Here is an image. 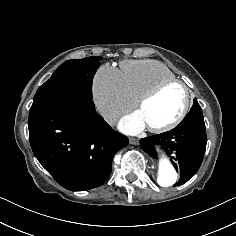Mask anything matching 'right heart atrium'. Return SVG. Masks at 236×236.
<instances>
[{"mask_svg":"<svg viewBox=\"0 0 236 236\" xmlns=\"http://www.w3.org/2000/svg\"><path fill=\"white\" fill-rule=\"evenodd\" d=\"M92 95L98 116L109 125L134 105L123 74L109 64L102 65L96 71Z\"/></svg>","mask_w":236,"mask_h":236,"instance_id":"right-heart-atrium-1","label":"right heart atrium"}]
</instances>
